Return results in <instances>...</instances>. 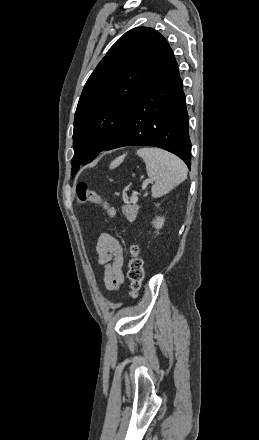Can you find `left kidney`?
I'll return each mask as SVG.
<instances>
[{
	"mask_svg": "<svg viewBox=\"0 0 259 440\" xmlns=\"http://www.w3.org/2000/svg\"><path fill=\"white\" fill-rule=\"evenodd\" d=\"M152 224L155 229L159 230L164 224V217H156V219L152 221Z\"/></svg>",
	"mask_w": 259,
	"mask_h": 440,
	"instance_id": "obj_1",
	"label": "left kidney"
}]
</instances>
